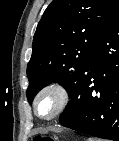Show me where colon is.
Wrapping results in <instances>:
<instances>
[{"label":"colon","instance_id":"1","mask_svg":"<svg viewBox=\"0 0 119 141\" xmlns=\"http://www.w3.org/2000/svg\"><path fill=\"white\" fill-rule=\"evenodd\" d=\"M36 141H55V140L51 137L38 136V137H36Z\"/></svg>","mask_w":119,"mask_h":141}]
</instances>
